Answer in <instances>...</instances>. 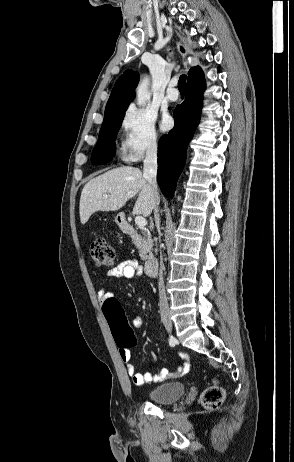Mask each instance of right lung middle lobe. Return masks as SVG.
Segmentation results:
<instances>
[{"mask_svg":"<svg viewBox=\"0 0 294 462\" xmlns=\"http://www.w3.org/2000/svg\"><path fill=\"white\" fill-rule=\"evenodd\" d=\"M125 112L104 118L97 144L92 152L91 161L94 164H104L112 160L116 150L114 137L120 129Z\"/></svg>","mask_w":294,"mask_h":462,"instance_id":"1","label":"right lung middle lobe"}]
</instances>
